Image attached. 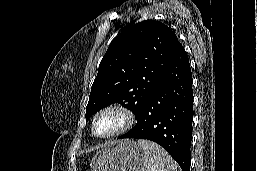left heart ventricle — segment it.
I'll return each instance as SVG.
<instances>
[{
	"instance_id": "left-heart-ventricle-1",
	"label": "left heart ventricle",
	"mask_w": 257,
	"mask_h": 171,
	"mask_svg": "<svg viewBox=\"0 0 257 171\" xmlns=\"http://www.w3.org/2000/svg\"><path fill=\"white\" fill-rule=\"evenodd\" d=\"M122 124V117L116 112H108L101 115L94 126L98 135H105L115 131Z\"/></svg>"
}]
</instances>
